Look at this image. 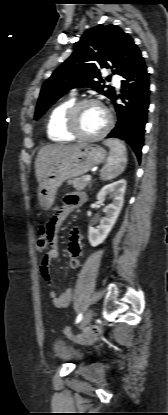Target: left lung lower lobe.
Wrapping results in <instances>:
<instances>
[{
    "label": "left lung lower lobe",
    "instance_id": "0a47b994",
    "mask_svg": "<svg viewBox=\"0 0 168 415\" xmlns=\"http://www.w3.org/2000/svg\"><path fill=\"white\" fill-rule=\"evenodd\" d=\"M121 95L115 93L111 99L117 112V123L106 138H119L133 149L138 160L144 145V132L149 108V74L141 52L123 73ZM121 98L123 104H117Z\"/></svg>",
    "mask_w": 168,
    "mask_h": 415
}]
</instances>
